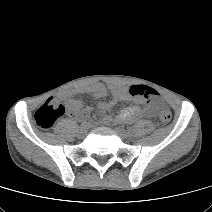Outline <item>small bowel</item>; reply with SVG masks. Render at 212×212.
<instances>
[{
  "mask_svg": "<svg viewBox=\"0 0 212 212\" xmlns=\"http://www.w3.org/2000/svg\"><path fill=\"white\" fill-rule=\"evenodd\" d=\"M83 92L94 97V98H105L108 94L111 95L110 101H102L99 103L98 107L101 110H111L114 108L119 101H132L133 103L123 109L118 115L117 120L119 122H130L138 121L143 116L154 115V109L147 107L145 101L140 96H132L129 93V89L126 87L111 85L107 87L104 83H96L94 85L85 87ZM68 116L73 120H87L91 113V108L85 106L84 102L79 98H69L67 100ZM110 119L108 117L104 118L105 122Z\"/></svg>",
  "mask_w": 212,
  "mask_h": 212,
  "instance_id": "1",
  "label": "small bowel"
}]
</instances>
